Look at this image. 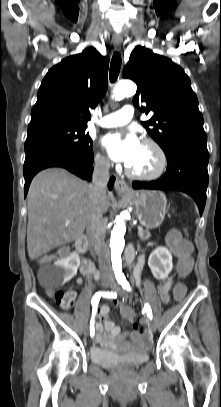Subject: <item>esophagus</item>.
I'll return each mask as SVG.
<instances>
[{"label":"esophagus","mask_w":221,"mask_h":407,"mask_svg":"<svg viewBox=\"0 0 221 407\" xmlns=\"http://www.w3.org/2000/svg\"><path fill=\"white\" fill-rule=\"evenodd\" d=\"M113 45L117 50H120L122 44V38L119 35L112 37ZM115 190L118 194H128L131 192L128 184L124 180L117 179L115 182Z\"/></svg>","instance_id":"34e87169"}]
</instances>
